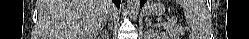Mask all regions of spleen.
Masks as SVG:
<instances>
[{"label":"spleen","instance_id":"3e777b00","mask_svg":"<svg viewBox=\"0 0 249 39\" xmlns=\"http://www.w3.org/2000/svg\"><path fill=\"white\" fill-rule=\"evenodd\" d=\"M183 9L189 27L191 39H207L210 34L211 19L204 0L178 1Z\"/></svg>","mask_w":249,"mask_h":39}]
</instances>
